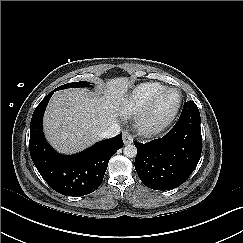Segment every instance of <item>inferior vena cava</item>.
<instances>
[{"label": "inferior vena cava", "mask_w": 243, "mask_h": 243, "mask_svg": "<svg viewBox=\"0 0 243 243\" xmlns=\"http://www.w3.org/2000/svg\"><path fill=\"white\" fill-rule=\"evenodd\" d=\"M120 133V126L118 123H112L105 131L99 134L100 138H111Z\"/></svg>", "instance_id": "obj_1"}]
</instances>
